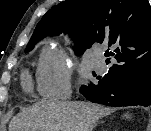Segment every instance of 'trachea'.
Instances as JSON below:
<instances>
[{
  "label": "trachea",
  "mask_w": 151,
  "mask_h": 131,
  "mask_svg": "<svg viewBox=\"0 0 151 131\" xmlns=\"http://www.w3.org/2000/svg\"><path fill=\"white\" fill-rule=\"evenodd\" d=\"M104 55H105L106 57H108V56H109V53L106 52Z\"/></svg>",
  "instance_id": "obj_1"
}]
</instances>
